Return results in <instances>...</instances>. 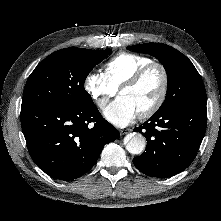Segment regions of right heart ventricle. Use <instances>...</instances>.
<instances>
[{
	"mask_svg": "<svg viewBox=\"0 0 221 221\" xmlns=\"http://www.w3.org/2000/svg\"><path fill=\"white\" fill-rule=\"evenodd\" d=\"M151 62L152 59L147 56L120 53L105 63L104 75L115 88L119 89L138 69Z\"/></svg>",
	"mask_w": 221,
	"mask_h": 221,
	"instance_id": "e07e8e85",
	"label": "right heart ventricle"
}]
</instances>
